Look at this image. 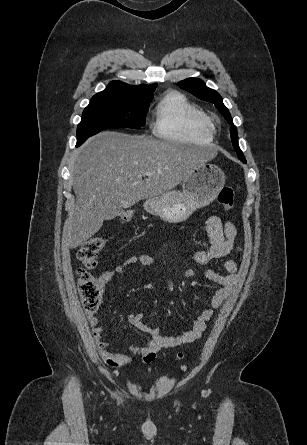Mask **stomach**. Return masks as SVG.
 <instances>
[{"instance_id":"1","label":"stomach","mask_w":307,"mask_h":445,"mask_svg":"<svg viewBox=\"0 0 307 445\" xmlns=\"http://www.w3.org/2000/svg\"><path fill=\"white\" fill-rule=\"evenodd\" d=\"M224 184L222 168L202 162L183 180L182 190H169L160 196L146 198L144 210L160 216L166 223H183L196 208L213 202Z\"/></svg>"}]
</instances>
